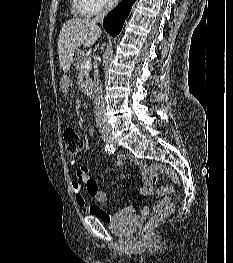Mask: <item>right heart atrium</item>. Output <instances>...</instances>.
Segmentation results:
<instances>
[{"mask_svg": "<svg viewBox=\"0 0 233 263\" xmlns=\"http://www.w3.org/2000/svg\"><path fill=\"white\" fill-rule=\"evenodd\" d=\"M80 11L87 14H96L103 10L111 9L119 0H79Z\"/></svg>", "mask_w": 233, "mask_h": 263, "instance_id": "d8ad5b80", "label": "right heart atrium"}]
</instances>
